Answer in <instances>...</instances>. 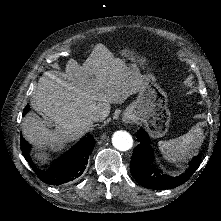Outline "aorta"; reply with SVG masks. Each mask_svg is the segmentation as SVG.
<instances>
[{
  "mask_svg": "<svg viewBox=\"0 0 221 221\" xmlns=\"http://www.w3.org/2000/svg\"><path fill=\"white\" fill-rule=\"evenodd\" d=\"M113 146L120 151H127L133 146V139L126 131H116L112 136Z\"/></svg>",
  "mask_w": 221,
  "mask_h": 221,
  "instance_id": "aorta-1",
  "label": "aorta"
}]
</instances>
